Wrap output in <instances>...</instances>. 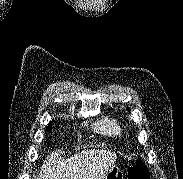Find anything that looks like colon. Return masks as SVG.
Here are the masks:
<instances>
[{
	"label": "colon",
	"instance_id": "obj_1",
	"mask_svg": "<svg viewBox=\"0 0 183 179\" xmlns=\"http://www.w3.org/2000/svg\"><path fill=\"white\" fill-rule=\"evenodd\" d=\"M149 172L146 166L140 161H134L128 170L129 179H148Z\"/></svg>",
	"mask_w": 183,
	"mask_h": 179
}]
</instances>
